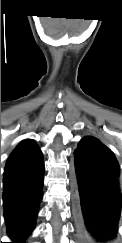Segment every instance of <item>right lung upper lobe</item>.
Segmentation results:
<instances>
[{"instance_id":"cb5924a9","label":"right lung upper lobe","mask_w":122,"mask_h":243,"mask_svg":"<svg viewBox=\"0 0 122 243\" xmlns=\"http://www.w3.org/2000/svg\"><path fill=\"white\" fill-rule=\"evenodd\" d=\"M43 165V157L40 149L33 140H23L9 156L3 181L9 180L22 173Z\"/></svg>"}]
</instances>
